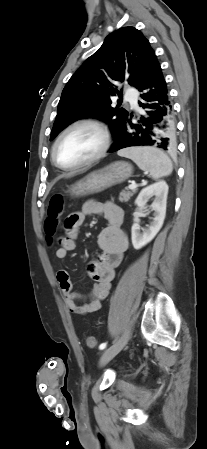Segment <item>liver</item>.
Masks as SVG:
<instances>
[{
	"mask_svg": "<svg viewBox=\"0 0 207 449\" xmlns=\"http://www.w3.org/2000/svg\"><path fill=\"white\" fill-rule=\"evenodd\" d=\"M74 175H75V173L72 172V173H68V174L64 175V177H65V178H70V177H72V176H74Z\"/></svg>",
	"mask_w": 207,
	"mask_h": 449,
	"instance_id": "6515ba94",
	"label": "liver"
}]
</instances>
